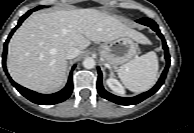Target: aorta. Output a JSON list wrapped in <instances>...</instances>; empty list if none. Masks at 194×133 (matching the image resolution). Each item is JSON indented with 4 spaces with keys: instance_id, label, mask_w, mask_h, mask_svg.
Returning <instances> with one entry per match:
<instances>
[{
    "instance_id": "obj_1",
    "label": "aorta",
    "mask_w": 194,
    "mask_h": 133,
    "mask_svg": "<svg viewBox=\"0 0 194 133\" xmlns=\"http://www.w3.org/2000/svg\"><path fill=\"white\" fill-rule=\"evenodd\" d=\"M95 65H96L95 60L91 57L85 58L83 61V66L86 69H92L95 67Z\"/></svg>"
}]
</instances>
